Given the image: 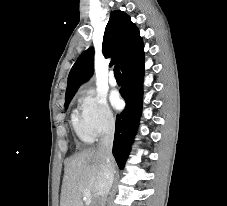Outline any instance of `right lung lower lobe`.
<instances>
[{
	"instance_id": "98d812e1",
	"label": "right lung lower lobe",
	"mask_w": 227,
	"mask_h": 206,
	"mask_svg": "<svg viewBox=\"0 0 227 206\" xmlns=\"http://www.w3.org/2000/svg\"><path fill=\"white\" fill-rule=\"evenodd\" d=\"M144 58L122 72L121 94L125 109L116 117L113 155L120 169L124 168L130 145L136 134L142 109Z\"/></svg>"
}]
</instances>
